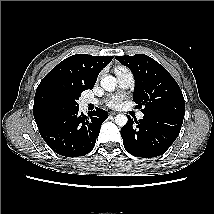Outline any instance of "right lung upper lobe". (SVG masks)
Returning <instances> with one entry per match:
<instances>
[{"instance_id": "obj_1", "label": "right lung upper lobe", "mask_w": 214, "mask_h": 214, "mask_svg": "<svg viewBox=\"0 0 214 214\" xmlns=\"http://www.w3.org/2000/svg\"><path fill=\"white\" fill-rule=\"evenodd\" d=\"M113 59V56L72 55L55 66L40 82L33 106L36 124L42 123L56 112L44 100L45 92L54 85L73 87L81 90L92 89L100 71Z\"/></svg>"}]
</instances>
